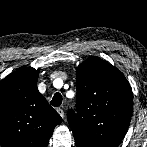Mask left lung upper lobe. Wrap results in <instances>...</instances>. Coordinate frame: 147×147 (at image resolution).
I'll return each instance as SVG.
<instances>
[{
  "label": "left lung upper lobe",
  "instance_id": "obj_1",
  "mask_svg": "<svg viewBox=\"0 0 147 147\" xmlns=\"http://www.w3.org/2000/svg\"><path fill=\"white\" fill-rule=\"evenodd\" d=\"M75 114L67 113L76 147H117L129 127L133 93L114 66L92 56L76 69Z\"/></svg>",
  "mask_w": 147,
  "mask_h": 147
}]
</instances>
